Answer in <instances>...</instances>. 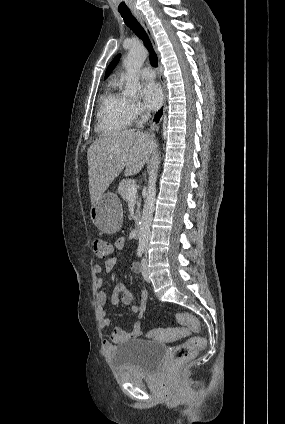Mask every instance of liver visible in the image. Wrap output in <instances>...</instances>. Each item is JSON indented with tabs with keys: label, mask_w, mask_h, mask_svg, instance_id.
<instances>
[{
	"label": "liver",
	"mask_w": 285,
	"mask_h": 424,
	"mask_svg": "<svg viewBox=\"0 0 285 424\" xmlns=\"http://www.w3.org/2000/svg\"><path fill=\"white\" fill-rule=\"evenodd\" d=\"M155 142L152 136L131 129L103 135L87 150L89 192L92 205L125 169V176L139 173Z\"/></svg>",
	"instance_id": "6515ba94"
}]
</instances>
